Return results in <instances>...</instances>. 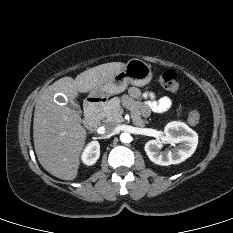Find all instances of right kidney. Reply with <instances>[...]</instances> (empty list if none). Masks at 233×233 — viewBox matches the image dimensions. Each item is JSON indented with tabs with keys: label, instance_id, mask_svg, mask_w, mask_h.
I'll use <instances>...</instances> for the list:
<instances>
[{
	"label": "right kidney",
	"instance_id": "obj_1",
	"mask_svg": "<svg viewBox=\"0 0 233 233\" xmlns=\"http://www.w3.org/2000/svg\"><path fill=\"white\" fill-rule=\"evenodd\" d=\"M100 156V145L98 141L90 142L82 154V161L86 165H93Z\"/></svg>",
	"mask_w": 233,
	"mask_h": 233
}]
</instances>
